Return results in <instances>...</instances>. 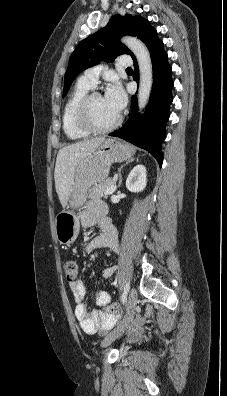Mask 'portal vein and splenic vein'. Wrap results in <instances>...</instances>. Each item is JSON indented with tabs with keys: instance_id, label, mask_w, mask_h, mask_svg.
I'll list each match as a JSON object with an SVG mask.
<instances>
[{
	"instance_id": "obj_1",
	"label": "portal vein and splenic vein",
	"mask_w": 227,
	"mask_h": 396,
	"mask_svg": "<svg viewBox=\"0 0 227 396\" xmlns=\"http://www.w3.org/2000/svg\"><path fill=\"white\" fill-rule=\"evenodd\" d=\"M116 191V185L113 184L110 188H108L105 192L106 195L112 194Z\"/></svg>"
}]
</instances>
